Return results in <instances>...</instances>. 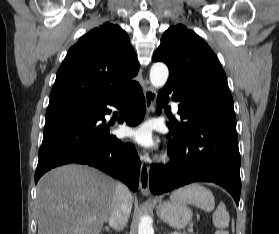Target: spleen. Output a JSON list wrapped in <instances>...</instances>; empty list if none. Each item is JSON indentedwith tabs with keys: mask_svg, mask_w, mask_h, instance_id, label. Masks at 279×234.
<instances>
[{
	"mask_svg": "<svg viewBox=\"0 0 279 234\" xmlns=\"http://www.w3.org/2000/svg\"><path fill=\"white\" fill-rule=\"evenodd\" d=\"M170 199L172 201L192 204L206 212L213 211L215 208V199L212 192L196 183L176 190L170 196ZM212 221L217 228L215 234H229L225 229L229 226L230 216L223 202H220L213 212Z\"/></svg>",
	"mask_w": 279,
	"mask_h": 234,
	"instance_id": "spleen-1",
	"label": "spleen"
}]
</instances>
